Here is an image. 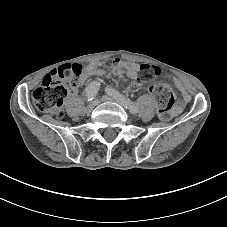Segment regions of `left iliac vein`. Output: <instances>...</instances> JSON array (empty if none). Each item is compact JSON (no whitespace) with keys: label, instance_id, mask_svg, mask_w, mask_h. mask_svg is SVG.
<instances>
[{"label":"left iliac vein","instance_id":"obj_1","mask_svg":"<svg viewBox=\"0 0 227 227\" xmlns=\"http://www.w3.org/2000/svg\"><path fill=\"white\" fill-rule=\"evenodd\" d=\"M101 101L102 102H117L119 103L121 106L125 107L124 104L121 101L118 100H114L113 98L109 97V96H102L101 97Z\"/></svg>","mask_w":227,"mask_h":227}]
</instances>
